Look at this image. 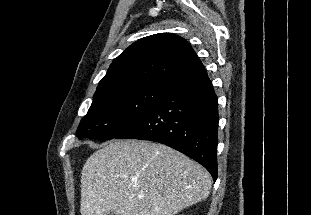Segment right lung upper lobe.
Listing matches in <instances>:
<instances>
[{
	"label": "right lung upper lobe",
	"instance_id": "obj_1",
	"mask_svg": "<svg viewBox=\"0 0 311 215\" xmlns=\"http://www.w3.org/2000/svg\"><path fill=\"white\" fill-rule=\"evenodd\" d=\"M200 67L202 62L185 39L173 33H158L134 42L120 54L96 92L125 84H170Z\"/></svg>",
	"mask_w": 311,
	"mask_h": 215
}]
</instances>
